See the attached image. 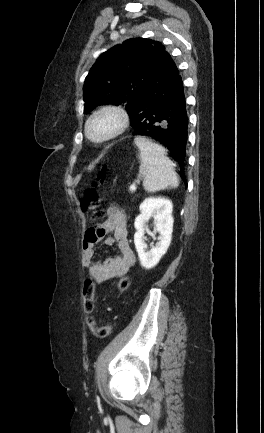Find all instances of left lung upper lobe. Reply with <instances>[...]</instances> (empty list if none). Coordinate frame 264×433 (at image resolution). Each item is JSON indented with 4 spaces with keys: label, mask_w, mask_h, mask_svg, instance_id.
<instances>
[{
    "label": "left lung upper lobe",
    "mask_w": 264,
    "mask_h": 433,
    "mask_svg": "<svg viewBox=\"0 0 264 433\" xmlns=\"http://www.w3.org/2000/svg\"><path fill=\"white\" fill-rule=\"evenodd\" d=\"M158 41L129 39L104 52L84 84V112L102 104L125 105L129 113L140 93L170 60Z\"/></svg>",
    "instance_id": "obj_1"
}]
</instances>
